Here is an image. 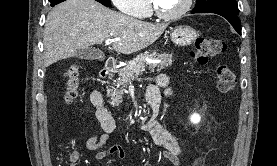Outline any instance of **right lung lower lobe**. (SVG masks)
Wrapping results in <instances>:
<instances>
[{
  "label": "right lung lower lobe",
  "instance_id": "1",
  "mask_svg": "<svg viewBox=\"0 0 277 166\" xmlns=\"http://www.w3.org/2000/svg\"><path fill=\"white\" fill-rule=\"evenodd\" d=\"M63 1H65V0H55V1H52L51 2V6H55V5H57V4H59V3L63 2Z\"/></svg>",
  "mask_w": 277,
  "mask_h": 166
}]
</instances>
